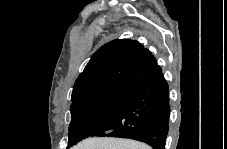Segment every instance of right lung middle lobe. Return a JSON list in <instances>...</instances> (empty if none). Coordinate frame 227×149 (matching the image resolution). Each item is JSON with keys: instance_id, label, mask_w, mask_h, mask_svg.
I'll list each match as a JSON object with an SVG mask.
<instances>
[{"instance_id": "1", "label": "right lung middle lobe", "mask_w": 227, "mask_h": 149, "mask_svg": "<svg viewBox=\"0 0 227 149\" xmlns=\"http://www.w3.org/2000/svg\"><path fill=\"white\" fill-rule=\"evenodd\" d=\"M135 88L110 84L95 89L71 104L68 147L89 137L129 98Z\"/></svg>"}]
</instances>
